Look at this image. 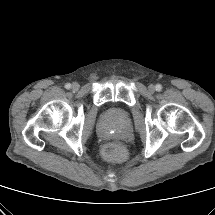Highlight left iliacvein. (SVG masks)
<instances>
[{"label":"left iliac vein","instance_id":"4c4485c4","mask_svg":"<svg viewBox=\"0 0 215 215\" xmlns=\"http://www.w3.org/2000/svg\"><path fill=\"white\" fill-rule=\"evenodd\" d=\"M155 86L153 84L149 85L148 89L151 93H154L155 92Z\"/></svg>","mask_w":215,"mask_h":215}]
</instances>
